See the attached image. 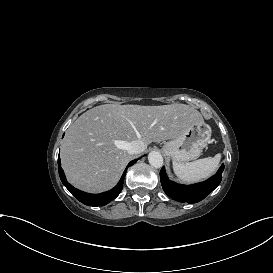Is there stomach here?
<instances>
[{"label": "stomach", "mask_w": 273, "mask_h": 273, "mask_svg": "<svg viewBox=\"0 0 273 273\" xmlns=\"http://www.w3.org/2000/svg\"><path fill=\"white\" fill-rule=\"evenodd\" d=\"M211 127L204 121L193 123L177 138L164 142L163 153L175 162L196 159L208 144Z\"/></svg>", "instance_id": "stomach-1"}]
</instances>
